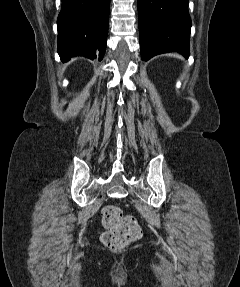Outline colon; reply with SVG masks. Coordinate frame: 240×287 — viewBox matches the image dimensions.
Returning a JSON list of instances; mask_svg holds the SVG:
<instances>
[{
	"mask_svg": "<svg viewBox=\"0 0 240 287\" xmlns=\"http://www.w3.org/2000/svg\"><path fill=\"white\" fill-rule=\"evenodd\" d=\"M102 223L106 231L101 236L103 245L111 250H121L141 237V228L133 216H125L115 205L102 210Z\"/></svg>",
	"mask_w": 240,
	"mask_h": 287,
	"instance_id": "5ec220e1",
	"label": "colon"
}]
</instances>
